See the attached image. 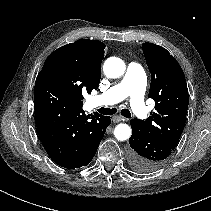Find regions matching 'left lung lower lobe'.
Returning a JSON list of instances; mask_svg holds the SVG:
<instances>
[{"label": "left lung lower lobe", "instance_id": "left-lung-lower-lobe-1", "mask_svg": "<svg viewBox=\"0 0 211 211\" xmlns=\"http://www.w3.org/2000/svg\"><path fill=\"white\" fill-rule=\"evenodd\" d=\"M130 124L132 136L129 139L128 159L131 168L138 172H152L162 167L173 149L151 136L137 119H132Z\"/></svg>", "mask_w": 211, "mask_h": 211}]
</instances>
